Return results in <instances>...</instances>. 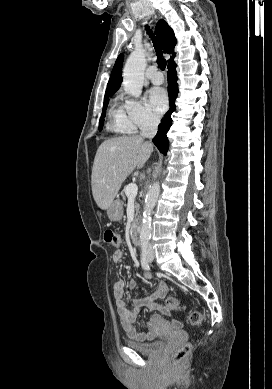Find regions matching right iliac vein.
<instances>
[{
	"instance_id": "63e3f726",
	"label": "right iliac vein",
	"mask_w": 272,
	"mask_h": 389,
	"mask_svg": "<svg viewBox=\"0 0 272 389\" xmlns=\"http://www.w3.org/2000/svg\"><path fill=\"white\" fill-rule=\"evenodd\" d=\"M152 257H153V255H152V254H149V255H148V258H150V259H151Z\"/></svg>"
}]
</instances>
